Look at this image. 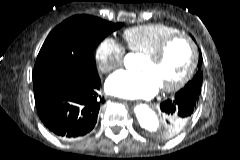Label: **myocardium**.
<instances>
[{
    "instance_id": "myocardium-1",
    "label": "myocardium",
    "mask_w": 240,
    "mask_h": 160,
    "mask_svg": "<svg viewBox=\"0 0 240 160\" xmlns=\"http://www.w3.org/2000/svg\"><path fill=\"white\" fill-rule=\"evenodd\" d=\"M177 40L185 41L188 44L191 52V59L186 72L177 82L169 86L161 87V90L166 93L179 91L193 77L198 64V57H199L196 43L188 35L183 33H176L163 39L154 51L145 55L146 58L151 59L152 61H155V62L160 61L164 57L168 47Z\"/></svg>"
}]
</instances>
